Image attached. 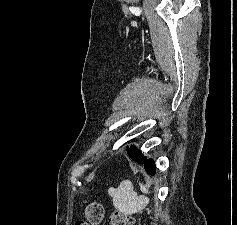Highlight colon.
Listing matches in <instances>:
<instances>
[{
	"mask_svg": "<svg viewBox=\"0 0 237 225\" xmlns=\"http://www.w3.org/2000/svg\"><path fill=\"white\" fill-rule=\"evenodd\" d=\"M104 209L101 203L91 202L85 209V219L77 220L75 225H99L103 219ZM132 216L120 212L113 213L108 221V225H134Z\"/></svg>",
	"mask_w": 237,
	"mask_h": 225,
	"instance_id": "5ec220e1",
	"label": "colon"
}]
</instances>
